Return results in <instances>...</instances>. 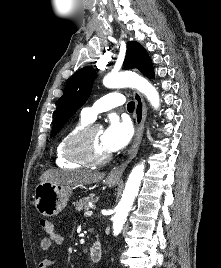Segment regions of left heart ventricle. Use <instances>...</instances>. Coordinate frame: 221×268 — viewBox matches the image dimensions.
Here are the masks:
<instances>
[{
	"label": "left heart ventricle",
	"instance_id": "1",
	"mask_svg": "<svg viewBox=\"0 0 221 268\" xmlns=\"http://www.w3.org/2000/svg\"><path fill=\"white\" fill-rule=\"evenodd\" d=\"M103 133L104 131L101 128H98L94 130L90 138L92 151L98 156L109 154V151L104 144Z\"/></svg>",
	"mask_w": 221,
	"mask_h": 268
}]
</instances>
